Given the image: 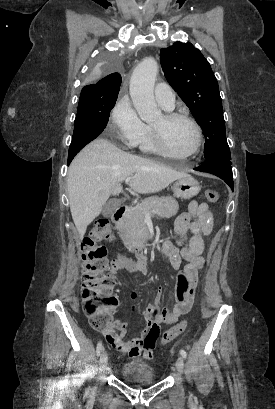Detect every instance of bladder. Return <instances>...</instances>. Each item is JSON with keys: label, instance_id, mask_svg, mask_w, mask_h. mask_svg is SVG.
Returning <instances> with one entry per match:
<instances>
[{"label": "bladder", "instance_id": "31cf9c89", "mask_svg": "<svg viewBox=\"0 0 275 409\" xmlns=\"http://www.w3.org/2000/svg\"><path fill=\"white\" fill-rule=\"evenodd\" d=\"M120 376L128 385L136 384H155L157 383V376L151 364L144 361H128L122 364L120 369Z\"/></svg>", "mask_w": 275, "mask_h": 409}]
</instances>
